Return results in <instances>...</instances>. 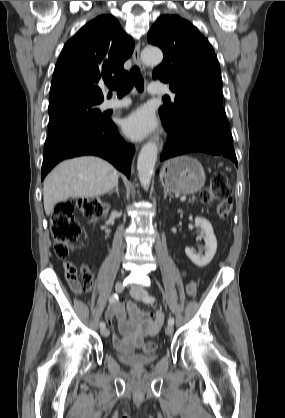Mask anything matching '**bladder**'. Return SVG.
<instances>
[{"mask_svg":"<svg viewBox=\"0 0 285 418\" xmlns=\"http://www.w3.org/2000/svg\"><path fill=\"white\" fill-rule=\"evenodd\" d=\"M117 359L130 367L144 368L151 366L157 358L154 352L143 354L134 351L117 350Z\"/></svg>","mask_w":285,"mask_h":418,"instance_id":"obj_1","label":"bladder"}]
</instances>
